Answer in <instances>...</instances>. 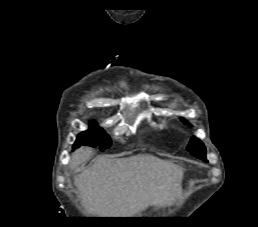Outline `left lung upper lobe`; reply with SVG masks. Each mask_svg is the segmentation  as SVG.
<instances>
[{"mask_svg":"<svg viewBox=\"0 0 258 227\" xmlns=\"http://www.w3.org/2000/svg\"><path fill=\"white\" fill-rule=\"evenodd\" d=\"M182 121L185 124H189L184 119H182ZM187 150L195 157L208 162L206 159V155H205V152H206L205 146L200 139H198L196 137H192L190 143L187 146Z\"/></svg>","mask_w":258,"mask_h":227,"instance_id":"1","label":"left lung upper lobe"}]
</instances>
